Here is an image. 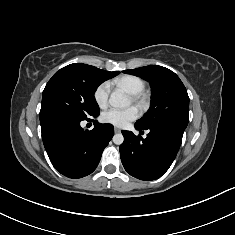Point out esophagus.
Masks as SVG:
<instances>
[{
  "label": "esophagus",
  "mask_w": 235,
  "mask_h": 235,
  "mask_svg": "<svg viewBox=\"0 0 235 235\" xmlns=\"http://www.w3.org/2000/svg\"><path fill=\"white\" fill-rule=\"evenodd\" d=\"M114 132H115V133H120V132H121V129L118 128V127H114Z\"/></svg>",
  "instance_id": "esophagus-1"
}]
</instances>
